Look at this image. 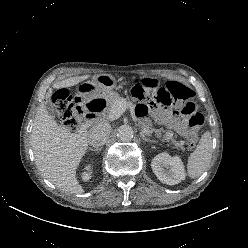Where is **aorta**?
Listing matches in <instances>:
<instances>
[{"label":"aorta","mask_w":248,"mask_h":248,"mask_svg":"<svg viewBox=\"0 0 248 248\" xmlns=\"http://www.w3.org/2000/svg\"><path fill=\"white\" fill-rule=\"evenodd\" d=\"M134 136V130L130 125H121L117 129V137L123 142L130 141Z\"/></svg>","instance_id":"aorta-1"}]
</instances>
